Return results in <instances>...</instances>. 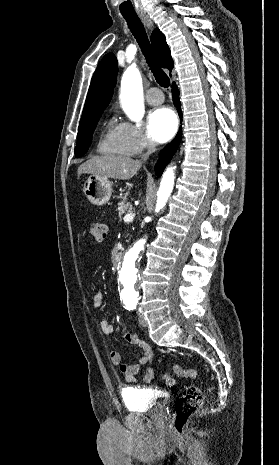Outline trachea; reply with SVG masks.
<instances>
[{
  "label": "trachea",
  "instance_id": "trachea-1",
  "mask_svg": "<svg viewBox=\"0 0 279 465\" xmlns=\"http://www.w3.org/2000/svg\"><path fill=\"white\" fill-rule=\"evenodd\" d=\"M124 19L126 20L129 29L131 30L132 34L134 35L136 41L138 42L146 60L147 63L155 77V80L157 83L164 87L167 88L170 85V79L166 75V73L162 70V68L159 66L152 47L150 45V42L148 40L145 28L139 19L137 15H126L123 14Z\"/></svg>",
  "mask_w": 279,
  "mask_h": 465
}]
</instances>
